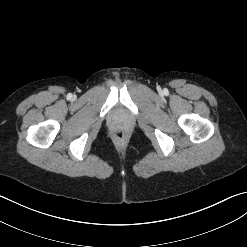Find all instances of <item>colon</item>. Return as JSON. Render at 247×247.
<instances>
[{
    "label": "colon",
    "instance_id": "colon-1",
    "mask_svg": "<svg viewBox=\"0 0 247 247\" xmlns=\"http://www.w3.org/2000/svg\"><path fill=\"white\" fill-rule=\"evenodd\" d=\"M124 133H125V131H124L123 128H118L116 130V135H117L118 138H122L124 136Z\"/></svg>",
    "mask_w": 247,
    "mask_h": 247
}]
</instances>
